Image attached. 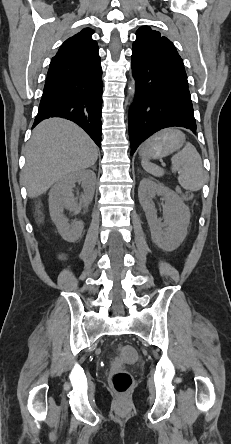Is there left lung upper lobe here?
Returning <instances> with one entry per match:
<instances>
[{"label": "left lung upper lobe", "instance_id": "1", "mask_svg": "<svg viewBox=\"0 0 231 444\" xmlns=\"http://www.w3.org/2000/svg\"><path fill=\"white\" fill-rule=\"evenodd\" d=\"M132 54L145 59L159 60L170 63L186 74L183 61L173 43L158 31L148 26L140 27L136 32Z\"/></svg>", "mask_w": 231, "mask_h": 444}]
</instances>
